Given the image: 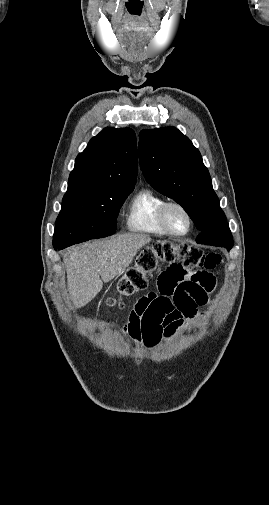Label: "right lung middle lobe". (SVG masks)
Returning a JSON list of instances; mask_svg holds the SVG:
<instances>
[{"label":"right lung middle lobe","mask_w":269,"mask_h":505,"mask_svg":"<svg viewBox=\"0 0 269 505\" xmlns=\"http://www.w3.org/2000/svg\"><path fill=\"white\" fill-rule=\"evenodd\" d=\"M131 192L67 191L56 220L53 246L66 248L114 234L119 209Z\"/></svg>","instance_id":"right-lung-middle-lobe-1"}]
</instances>
